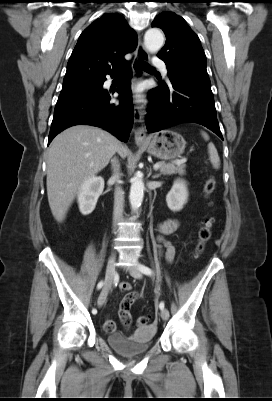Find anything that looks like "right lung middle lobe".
Returning <instances> with one entry per match:
<instances>
[{"label":"right lung middle lobe","instance_id":"obj_1","mask_svg":"<svg viewBox=\"0 0 272 401\" xmlns=\"http://www.w3.org/2000/svg\"><path fill=\"white\" fill-rule=\"evenodd\" d=\"M98 86H100V81L94 82V83H91V84H88V85H85V86H82V87H78V88H75V89H71V90H62L61 93H60V96L72 93L74 91H77V90L85 88V87H98Z\"/></svg>","mask_w":272,"mask_h":401}]
</instances>
